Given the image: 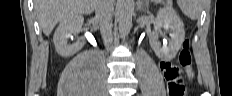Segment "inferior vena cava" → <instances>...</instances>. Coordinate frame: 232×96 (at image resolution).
<instances>
[{
  "instance_id": "602c4592",
  "label": "inferior vena cava",
  "mask_w": 232,
  "mask_h": 96,
  "mask_svg": "<svg viewBox=\"0 0 232 96\" xmlns=\"http://www.w3.org/2000/svg\"><path fill=\"white\" fill-rule=\"evenodd\" d=\"M96 17L99 21L100 32L106 47L112 43L111 19L114 13V0H97L95 7Z\"/></svg>"
}]
</instances>
